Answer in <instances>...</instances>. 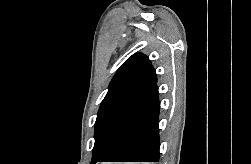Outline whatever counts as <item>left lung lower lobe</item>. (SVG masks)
Instances as JSON below:
<instances>
[{
	"mask_svg": "<svg viewBox=\"0 0 251 164\" xmlns=\"http://www.w3.org/2000/svg\"><path fill=\"white\" fill-rule=\"evenodd\" d=\"M158 87L153 85L126 114L114 139L113 148L101 162H158Z\"/></svg>",
	"mask_w": 251,
	"mask_h": 164,
	"instance_id": "obj_1",
	"label": "left lung lower lobe"
}]
</instances>
